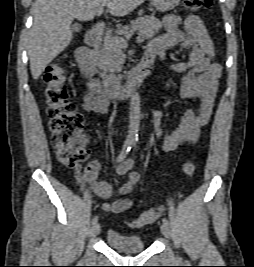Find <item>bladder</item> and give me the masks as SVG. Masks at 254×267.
<instances>
[{
    "instance_id": "bladder-1",
    "label": "bladder",
    "mask_w": 254,
    "mask_h": 267,
    "mask_svg": "<svg viewBox=\"0 0 254 267\" xmlns=\"http://www.w3.org/2000/svg\"><path fill=\"white\" fill-rule=\"evenodd\" d=\"M106 241L115 250L135 253L145 249V242L140 235L128 234L117 229H109L106 233Z\"/></svg>"
}]
</instances>
